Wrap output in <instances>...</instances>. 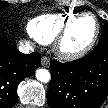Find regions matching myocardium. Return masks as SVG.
<instances>
[{"label": "myocardium", "instance_id": "f54148a6", "mask_svg": "<svg viewBox=\"0 0 108 108\" xmlns=\"http://www.w3.org/2000/svg\"><path fill=\"white\" fill-rule=\"evenodd\" d=\"M84 17H91L94 20L95 23L94 34L86 45H84L79 49L70 50L66 48L65 42L69 36L70 31L75 26V24ZM99 32H100V25L96 16L89 12L80 13L75 17H73L69 22H67V24L62 28V30L56 36L54 40V49L62 59L74 60V59L81 58L93 48V46L95 45L98 39Z\"/></svg>", "mask_w": 108, "mask_h": 108}]
</instances>
